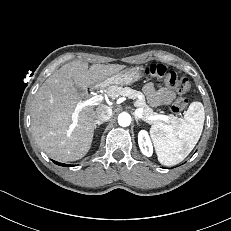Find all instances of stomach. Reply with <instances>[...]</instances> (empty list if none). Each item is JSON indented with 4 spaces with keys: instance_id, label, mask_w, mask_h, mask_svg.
Wrapping results in <instances>:
<instances>
[{
    "instance_id": "stomach-1",
    "label": "stomach",
    "mask_w": 231,
    "mask_h": 231,
    "mask_svg": "<svg viewBox=\"0 0 231 231\" xmlns=\"http://www.w3.org/2000/svg\"><path fill=\"white\" fill-rule=\"evenodd\" d=\"M142 70L138 67H131L122 71H119L112 76L106 78L99 86L106 87L110 84L115 85H131L142 78Z\"/></svg>"
}]
</instances>
